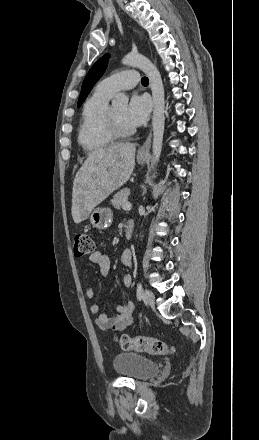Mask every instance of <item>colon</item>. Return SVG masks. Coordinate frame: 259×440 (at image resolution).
I'll use <instances>...</instances> for the list:
<instances>
[{
    "label": "colon",
    "mask_w": 259,
    "mask_h": 440,
    "mask_svg": "<svg viewBox=\"0 0 259 440\" xmlns=\"http://www.w3.org/2000/svg\"><path fill=\"white\" fill-rule=\"evenodd\" d=\"M94 251V242L86 233H78L74 239V254L85 256ZM117 343L123 350H136L148 352L153 355H167L172 352V347L165 341L146 336L130 337L120 335L116 338Z\"/></svg>",
    "instance_id": "obj_1"
}]
</instances>
